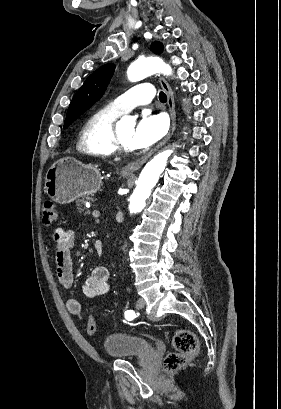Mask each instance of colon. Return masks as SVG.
Returning <instances> with one entry per match:
<instances>
[{"label": "colon", "instance_id": "colon-1", "mask_svg": "<svg viewBox=\"0 0 281 409\" xmlns=\"http://www.w3.org/2000/svg\"><path fill=\"white\" fill-rule=\"evenodd\" d=\"M43 223L51 225L60 218V209L57 204L51 200H46L42 205ZM89 334L95 331L94 323H89L87 327ZM172 347L175 352L169 354L165 361V367L176 370L185 366L189 358L195 356L198 352V341L195 334L187 329L176 331L172 336Z\"/></svg>", "mask_w": 281, "mask_h": 409}]
</instances>
